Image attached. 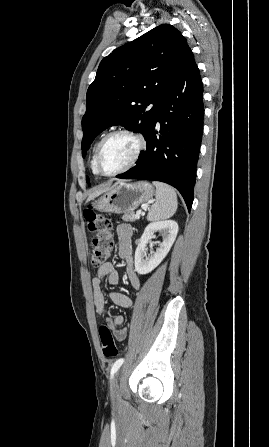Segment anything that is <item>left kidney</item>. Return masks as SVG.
I'll return each instance as SVG.
<instances>
[{
	"label": "left kidney",
	"instance_id": "obj_1",
	"mask_svg": "<svg viewBox=\"0 0 269 447\" xmlns=\"http://www.w3.org/2000/svg\"><path fill=\"white\" fill-rule=\"evenodd\" d=\"M155 231H160L163 235L159 247L156 251H151L150 255H146V243L154 237ZM178 233V224L173 220H166V222H153L147 225L140 237V241L135 251V269L138 273H149L154 267H157L167 255L171 245H173L176 235Z\"/></svg>",
	"mask_w": 269,
	"mask_h": 447
}]
</instances>
